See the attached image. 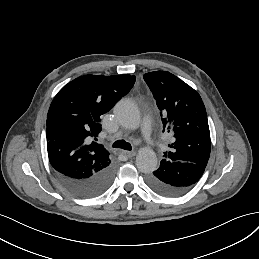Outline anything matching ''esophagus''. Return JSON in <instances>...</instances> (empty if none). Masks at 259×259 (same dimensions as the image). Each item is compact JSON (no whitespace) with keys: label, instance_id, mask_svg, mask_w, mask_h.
<instances>
[{"label":"esophagus","instance_id":"esophagus-1","mask_svg":"<svg viewBox=\"0 0 259 259\" xmlns=\"http://www.w3.org/2000/svg\"><path fill=\"white\" fill-rule=\"evenodd\" d=\"M122 154L131 158V157H134L136 155V151H122Z\"/></svg>","mask_w":259,"mask_h":259}]
</instances>
